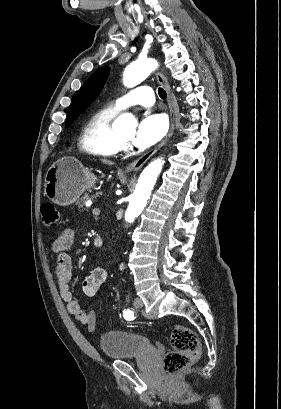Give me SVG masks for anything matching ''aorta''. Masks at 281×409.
<instances>
[{
  "label": "aorta",
  "mask_w": 281,
  "mask_h": 409,
  "mask_svg": "<svg viewBox=\"0 0 281 409\" xmlns=\"http://www.w3.org/2000/svg\"><path fill=\"white\" fill-rule=\"evenodd\" d=\"M158 66L154 59H138L128 65L123 74V81L126 87L132 88L144 81L152 71ZM117 129L133 130L136 127V120L130 113L123 114L115 121ZM162 159L151 162L141 173L136 188L130 197L129 206L125 213V221L133 222L147 204L151 191L157 181L163 166Z\"/></svg>",
  "instance_id": "762f6f07"
}]
</instances>
